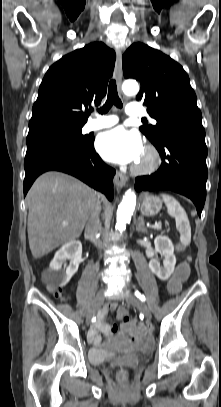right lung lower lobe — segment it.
<instances>
[{
	"mask_svg": "<svg viewBox=\"0 0 221 407\" xmlns=\"http://www.w3.org/2000/svg\"><path fill=\"white\" fill-rule=\"evenodd\" d=\"M24 168V196L40 174L57 170L79 178L104 193L109 200L113 199L115 170L107 166L95 152L91 138L86 145L59 136L29 139Z\"/></svg>",
	"mask_w": 221,
	"mask_h": 407,
	"instance_id": "98d812e1",
	"label": "right lung lower lobe"
}]
</instances>
